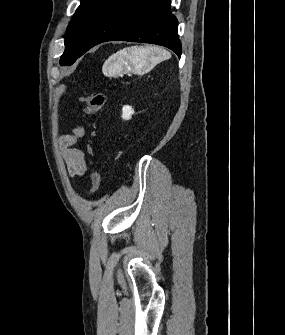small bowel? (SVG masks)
I'll return each instance as SVG.
<instances>
[{
    "mask_svg": "<svg viewBox=\"0 0 285 335\" xmlns=\"http://www.w3.org/2000/svg\"><path fill=\"white\" fill-rule=\"evenodd\" d=\"M84 134L85 130L83 127H76L71 134L63 135L59 141L68 172L71 176L82 175L86 169L83 151L74 147L77 139L83 137Z\"/></svg>",
    "mask_w": 285,
    "mask_h": 335,
    "instance_id": "small-bowel-1",
    "label": "small bowel"
}]
</instances>
